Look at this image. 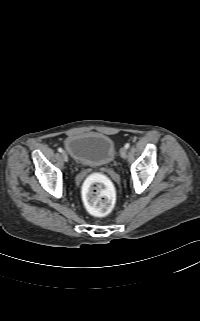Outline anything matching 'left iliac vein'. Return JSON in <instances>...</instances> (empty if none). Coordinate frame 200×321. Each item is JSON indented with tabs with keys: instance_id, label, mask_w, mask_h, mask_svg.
<instances>
[{
	"instance_id": "left-iliac-vein-1",
	"label": "left iliac vein",
	"mask_w": 200,
	"mask_h": 321,
	"mask_svg": "<svg viewBox=\"0 0 200 321\" xmlns=\"http://www.w3.org/2000/svg\"><path fill=\"white\" fill-rule=\"evenodd\" d=\"M120 155H121L122 158H126V156H127V149H126L125 147H122V148L120 149Z\"/></svg>"
}]
</instances>
